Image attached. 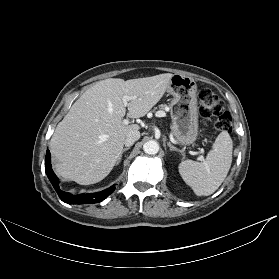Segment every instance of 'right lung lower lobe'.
<instances>
[{"label":"right lung lower lobe","mask_w":279,"mask_h":279,"mask_svg":"<svg viewBox=\"0 0 279 279\" xmlns=\"http://www.w3.org/2000/svg\"><path fill=\"white\" fill-rule=\"evenodd\" d=\"M50 152L47 150L46 152V158H45V171L46 174L52 183L54 189L56 190L58 196L63 202L69 203V204H87V203H97L104 200L106 197H108L115 189V185L97 193L92 194H80V195H72L70 193L64 192L59 187V179L55 175V173L52 170L51 166V159H50Z\"/></svg>","instance_id":"right-lung-lower-lobe-1"}]
</instances>
